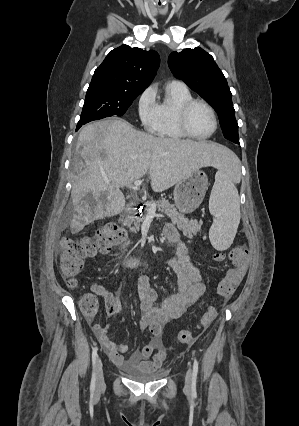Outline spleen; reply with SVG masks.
I'll return each mask as SVG.
<instances>
[{"mask_svg": "<svg viewBox=\"0 0 299 426\" xmlns=\"http://www.w3.org/2000/svg\"><path fill=\"white\" fill-rule=\"evenodd\" d=\"M209 210L215 218L209 230L210 242L218 251L227 250L233 243L240 222V201L238 190L226 168H221L215 175Z\"/></svg>", "mask_w": 299, "mask_h": 426, "instance_id": "obj_1", "label": "spleen"}]
</instances>
